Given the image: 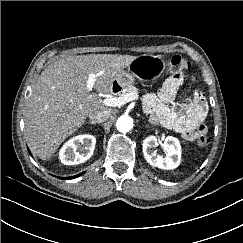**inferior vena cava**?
<instances>
[{
  "label": "inferior vena cava",
  "instance_id": "602c4592",
  "mask_svg": "<svg viewBox=\"0 0 243 243\" xmlns=\"http://www.w3.org/2000/svg\"><path fill=\"white\" fill-rule=\"evenodd\" d=\"M110 113L106 108L96 109L90 112L89 118L91 122L101 123L108 119Z\"/></svg>",
  "mask_w": 243,
  "mask_h": 243
}]
</instances>
